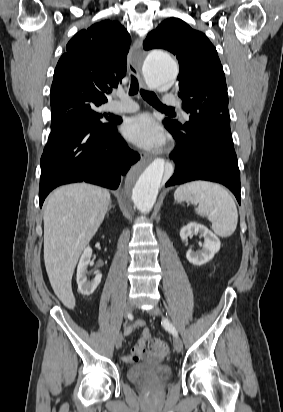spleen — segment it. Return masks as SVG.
<instances>
[{"instance_id": "1", "label": "spleen", "mask_w": 283, "mask_h": 412, "mask_svg": "<svg viewBox=\"0 0 283 412\" xmlns=\"http://www.w3.org/2000/svg\"><path fill=\"white\" fill-rule=\"evenodd\" d=\"M174 198L198 204L196 212L212 223L220 237L231 236L237 227L238 212L234 200L220 185L207 181H193L179 186Z\"/></svg>"}]
</instances>
